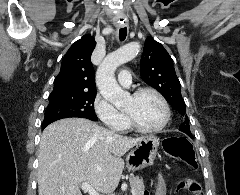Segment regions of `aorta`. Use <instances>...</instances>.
<instances>
[{
    "label": "aorta",
    "mask_w": 240,
    "mask_h": 195,
    "mask_svg": "<svg viewBox=\"0 0 240 195\" xmlns=\"http://www.w3.org/2000/svg\"><path fill=\"white\" fill-rule=\"evenodd\" d=\"M140 50L139 44L131 42L123 48H119L116 52L108 54L100 64L96 72V86L103 98L111 101L113 105L119 107L121 101L126 98L127 94L118 86L115 78V72L118 66L126 64L129 60H133Z\"/></svg>",
    "instance_id": "obj_1"
}]
</instances>
